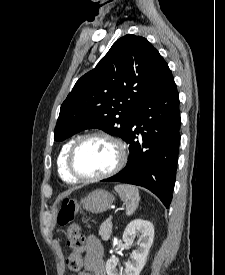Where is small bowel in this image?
Segmentation results:
<instances>
[{
  "label": "small bowel",
  "mask_w": 225,
  "mask_h": 275,
  "mask_svg": "<svg viewBox=\"0 0 225 275\" xmlns=\"http://www.w3.org/2000/svg\"><path fill=\"white\" fill-rule=\"evenodd\" d=\"M84 270L78 275H106L104 268L103 247L94 236H88L83 246Z\"/></svg>",
  "instance_id": "1"
}]
</instances>
